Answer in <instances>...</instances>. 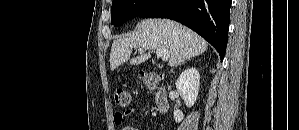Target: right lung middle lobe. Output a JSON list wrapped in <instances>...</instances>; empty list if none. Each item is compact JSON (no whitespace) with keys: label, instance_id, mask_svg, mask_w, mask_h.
Segmentation results:
<instances>
[{"label":"right lung middle lobe","instance_id":"obj_1","mask_svg":"<svg viewBox=\"0 0 299 130\" xmlns=\"http://www.w3.org/2000/svg\"><path fill=\"white\" fill-rule=\"evenodd\" d=\"M155 0H113L111 23L115 26L139 16Z\"/></svg>","mask_w":299,"mask_h":130}]
</instances>
